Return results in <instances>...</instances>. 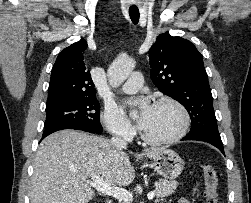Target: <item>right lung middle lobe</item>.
Wrapping results in <instances>:
<instances>
[{
  "label": "right lung middle lobe",
  "instance_id": "1",
  "mask_svg": "<svg viewBox=\"0 0 251 203\" xmlns=\"http://www.w3.org/2000/svg\"><path fill=\"white\" fill-rule=\"evenodd\" d=\"M100 104L96 97L46 107L45 129L63 124H81L101 133Z\"/></svg>",
  "mask_w": 251,
  "mask_h": 203
}]
</instances>
